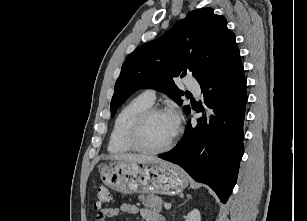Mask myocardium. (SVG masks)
I'll return each instance as SVG.
<instances>
[{
	"label": "myocardium",
	"instance_id": "1",
	"mask_svg": "<svg viewBox=\"0 0 307 221\" xmlns=\"http://www.w3.org/2000/svg\"><path fill=\"white\" fill-rule=\"evenodd\" d=\"M156 114H169V111L161 107L151 106L142 110L132 121L127 133V142L132 150L143 154L155 155L164 153L173 147L180 132L179 126L169 141L159 148H148L141 143L140 137L146 122Z\"/></svg>",
	"mask_w": 307,
	"mask_h": 221
}]
</instances>
